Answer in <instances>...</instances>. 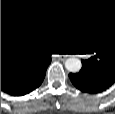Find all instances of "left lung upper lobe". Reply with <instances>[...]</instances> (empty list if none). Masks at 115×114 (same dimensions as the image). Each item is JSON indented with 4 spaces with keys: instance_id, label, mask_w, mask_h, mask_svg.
Segmentation results:
<instances>
[{
    "instance_id": "left-lung-upper-lobe-1",
    "label": "left lung upper lobe",
    "mask_w": 115,
    "mask_h": 114,
    "mask_svg": "<svg viewBox=\"0 0 115 114\" xmlns=\"http://www.w3.org/2000/svg\"><path fill=\"white\" fill-rule=\"evenodd\" d=\"M89 59L81 60L82 69L93 70L115 78V27L103 31L88 46Z\"/></svg>"
}]
</instances>
